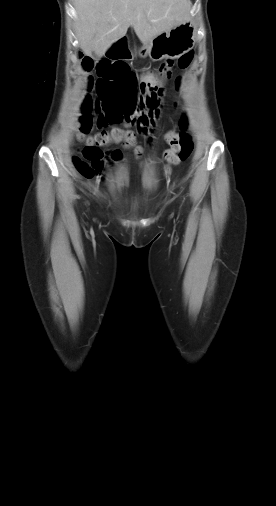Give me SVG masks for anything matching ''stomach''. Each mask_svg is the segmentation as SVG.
<instances>
[{
  "label": "stomach",
  "mask_w": 276,
  "mask_h": 506,
  "mask_svg": "<svg viewBox=\"0 0 276 506\" xmlns=\"http://www.w3.org/2000/svg\"><path fill=\"white\" fill-rule=\"evenodd\" d=\"M195 39L196 29L191 21H186L143 43L139 55L143 58L149 57L153 61L177 59L193 48Z\"/></svg>",
  "instance_id": "1"
}]
</instances>
